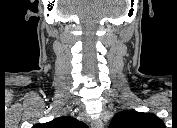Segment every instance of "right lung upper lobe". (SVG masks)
Returning a JSON list of instances; mask_svg holds the SVG:
<instances>
[{
	"label": "right lung upper lobe",
	"mask_w": 177,
	"mask_h": 128,
	"mask_svg": "<svg viewBox=\"0 0 177 128\" xmlns=\"http://www.w3.org/2000/svg\"><path fill=\"white\" fill-rule=\"evenodd\" d=\"M38 127L47 128H85L86 125L83 122L69 116H63L53 119L50 122L44 123L42 125H37Z\"/></svg>",
	"instance_id": "right-lung-upper-lobe-1"
}]
</instances>
